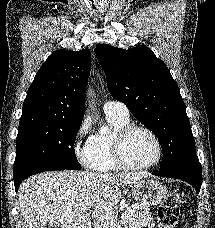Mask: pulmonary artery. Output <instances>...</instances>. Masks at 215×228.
<instances>
[{
    "instance_id": "pulmonary-artery-1",
    "label": "pulmonary artery",
    "mask_w": 215,
    "mask_h": 228,
    "mask_svg": "<svg viewBox=\"0 0 215 228\" xmlns=\"http://www.w3.org/2000/svg\"><path fill=\"white\" fill-rule=\"evenodd\" d=\"M104 111L106 114L115 113L123 117L129 116V109L127 105L118 101H107L104 104Z\"/></svg>"
}]
</instances>
